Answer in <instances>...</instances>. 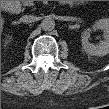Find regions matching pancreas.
<instances>
[{"mask_svg": "<svg viewBox=\"0 0 109 109\" xmlns=\"http://www.w3.org/2000/svg\"><path fill=\"white\" fill-rule=\"evenodd\" d=\"M24 6H32L34 3L32 1H22Z\"/></svg>", "mask_w": 109, "mask_h": 109, "instance_id": "obj_1", "label": "pancreas"}]
</instances>
